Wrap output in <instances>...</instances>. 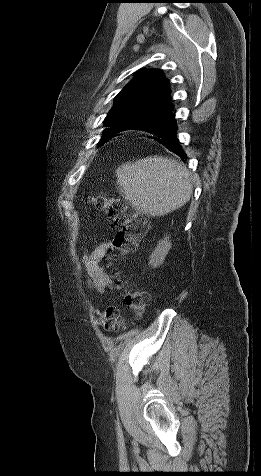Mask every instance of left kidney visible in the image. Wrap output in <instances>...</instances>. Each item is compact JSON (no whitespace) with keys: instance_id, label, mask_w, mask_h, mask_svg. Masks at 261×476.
<instances>
[{"instance_id":"left-kidney-1","label":"left kidney","mask_w":261,"mask_h":476,"mask_svg":"<svg viewBox=\"0 0 261 476\" xmlns=\"http://www.w3.org/2000/svg\"><path fill=\"white\" fill-rule=\"evenodd\" d=\"M170 249H171V242L169 240V237L166 236L164 239L159 241L156 248L154 249V251L150 255L149 264L153 268H156V267L160 266L163 263L166 255L168 254Z\"/></svg>"}]
</instances>
